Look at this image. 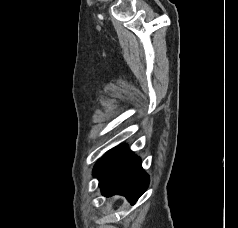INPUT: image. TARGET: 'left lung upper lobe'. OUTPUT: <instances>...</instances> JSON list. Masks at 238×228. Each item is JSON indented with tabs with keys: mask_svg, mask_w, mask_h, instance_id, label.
Instances as JSON below:
<instances>
[{
	"mask_svg": "<svg viewBox=\"0 0 238 228\" xmlns=\"http://www.w3.org/2000/svg\"><path fill=\"white\" fill-rule=\"evenodd\" d=\"M101 161H102V159H100V160L96 163V165H95V167H94V171L96 170V168L98 167V165L100 164Z\"/></svg>",
	"mask_w": 238,
	"mask_h": 228,
	"instance_id": "5c2ea615",
	"label": "left lung upper lobe"
}]
</instances>
